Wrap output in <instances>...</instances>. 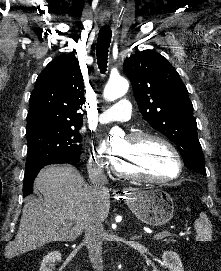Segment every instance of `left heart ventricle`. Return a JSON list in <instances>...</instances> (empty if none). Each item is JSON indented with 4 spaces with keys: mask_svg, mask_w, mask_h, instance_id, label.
Here are the masks:
<instances>
[{
    "mask_svg": "<svg viewBox=\"0 0 221 271\" xmlns=\"http://www.w3.org/2000/svg\"><path fill=\"white\" fill-rule=\"evenodd\" d=\"M156 138H146L135 141L138 149L137 156H120L114 160V168H118L119 175H147L148 177H177L176 166H173L171 147L157 144Z\"/></svg>",
    "mask_w": 221,
    "mask_h": 271,
    "instance_id": "obj_1",
    "label": "left heart ventricle"
}]
</instances>
